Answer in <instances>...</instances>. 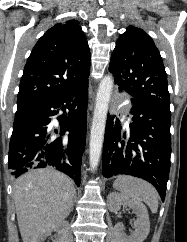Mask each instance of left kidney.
I'll return each mask as SVG.
<instances>
[{
  "label": "left kidney",
  "mask_w": 187,
  "mask_h": 242,
  "mask_svg": "<svg viewBox=\"0 0 187 242\" xmlns=\"http://www.w3.org/2000/svg\"><path fill=\"white\" fill-rule=\"evenodd\" d=\"M107 202L108 208L112 212H117L121 205H127L137 216V219L134 223L135 230L129 237L124 234V228L121 223L115 225V232L118 242H143L150 231V222L146 206L140 201L129 199L116 192L108 195Z\"/></svg>",
  "instance_id": "1"
}]
</instances>
